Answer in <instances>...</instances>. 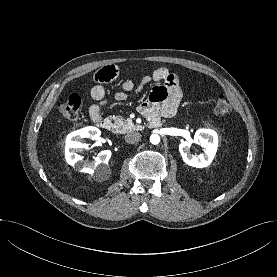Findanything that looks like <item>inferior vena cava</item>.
Masks as SVG:
<instances>
[{"mask_svg":"<svg viewBox=\"0 0 277 277\" xmlns=\"http://www.w3.org/2000/svg\"><path fill=\"white\" fill-rule=\"evenodd\" d=\"M141 139V134L138 132H131L125 135V141L129 144L138 142Z\"/></svg>","mask_w":277,"mask_h":277,"instance_id":"1","label":"inferior vena cava"}]
</instances>
